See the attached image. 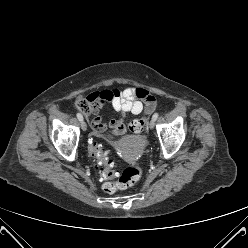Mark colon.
<instances>
[{
  "instance_id": "obj_1",
  "label": "colon",
  "mask_w": 248,
  "mask_h": 248,
  "mask_svg": "<svg viewBox=\"0 0 248 248\" xmlns=\"http://www.w3.org/2000/svg\"><path fill=\"white\" fill-rule=\"evenodd\" d=\"M76 108L84 115H88L93 105L87 101V98H80L76 102ZM146 123V117L134 120L130 123L129 129L134 133H140ZM90 154L95 163L100 168V176L104 179L118 178L117 182H106L103 189L107 193H114L119 189H125L133 186L141 176L140 160L137 158L128 163L119 173L112 159L107 155L103 146L99 142H92L89 146Z\"/></svg>"
}]
</instances>
